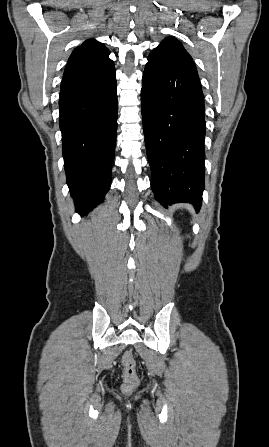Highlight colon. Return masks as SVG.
<instances>
[{"mask_svg":"<svg viewBox=\"0 0 269 447\" xmlns=\"http://www.w3.org/2000/svg\"><path fill=\"white\" fill-rule=\"evenodd\" d=\"M121 363L123 366V388L126 392L133 391L141 386V379L138 378L136 362L130 352L122 355Z\"/></svg>","mask_w":269,"mask_h":447,"instance_id":"obj_1","label":"colon"}]
</instances>
